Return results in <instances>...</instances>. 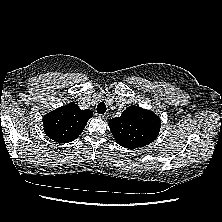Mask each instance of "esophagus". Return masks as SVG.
Listing matches in <instances>:
<instances>
[{
  "label": "esophagus",
  "instance_id": "34e87169",
  "mask_svg": "<svg viewBox=\"0 0 222 222\" xmlns=\"http://www.w3.org/2000/svg\"><path fill=\"white\" fill-rule=\"evenodd\" d=\"M99 118L107 119L108 118V114H99Z\"/></svg>",
  "mask_w": 222,
  "mask_h": 222
}]
</instances>
